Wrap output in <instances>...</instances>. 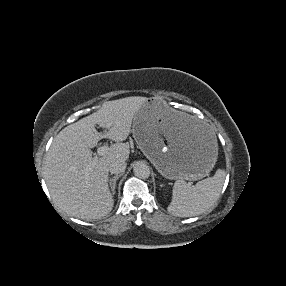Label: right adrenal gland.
I'll return each mask as SVG.
<instances>
[{"instance_id": "2a0ac1e0", "label": "right adrenal gland", "mask_w": 286, "mask_h": 286, "mask_svg": "<svg viewBox=\"0 0 286 286\" xmlns=\"http://www.w3.org/2000/svg\"><path fill=\"white\" fill-rule=\"evenodd\" d=\"M122 176V174L115 175L113 178L109 180V187L113 194L116 192V181Z\"/></svg>"}]
</instances>
